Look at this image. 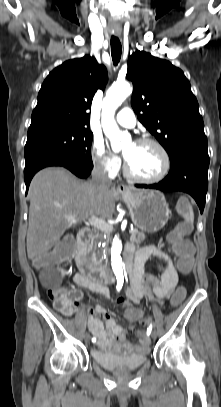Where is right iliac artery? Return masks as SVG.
<instances>
[{
  "label": "right iliac artery",
  "instance_id": "82829eb1",
  "mask_svg": "<svg viewBox=\"0 0 221 407\" xmlns=\"http://www.w3.org/2000/svg\"><path fill=\"white\" fill-rule=\"evenodd\" d=\"M116 288H117V291H120V290H121V288H122V283H121V282H118V283H117V287H116ZM95 341H96V338H95V337H93V338H92V342H95Z\"/></svg>",
  "mask_w": 221,
  "mask_h": 407
}]
</instances>
